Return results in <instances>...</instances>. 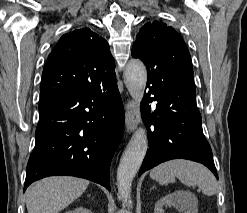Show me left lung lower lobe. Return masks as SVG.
<instances>
[{"label": "left lung lower lobe", "instance_id": "obj_1", "mask_svg": "<svg viewBox=\"0 0 247 213\" xmlns=\"http://www.w3.org/2000/svg\"><path fill=\"white\" fill-rule=\"evenodd\" d=\"M147 88L141 107L149 149L139 176L164 161L188 159L204 164L218 179L212 150L203 134L194 84L180 73H171L164 79L148 75ZM153 101L157 104L151 112L149 103Z\"/></svg>", "mask_w": 247, "mask_h": 213}]
</instances>
